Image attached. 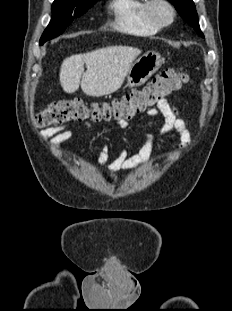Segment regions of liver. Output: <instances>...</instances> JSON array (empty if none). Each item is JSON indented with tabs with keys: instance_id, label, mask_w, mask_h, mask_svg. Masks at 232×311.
<instances>
[{
	"instance_id": "liver-1",
	"label": "liver",
	"mask_w": 232,
	"mask_h": 311,
	"mask_svg": "<svg viewBox=\"0 0 232 311\" xmlns=\"http://www.w3.org/2000/svg\"><path fill=\"white\" fill-rule=\"evenodd\" d=\"M141 50L127 46H110L63 60L59 80L66 93L82 91L101 97L117 91ZM84 64L87 70L84 72Z\"/></svg>"
}]
</instances>
